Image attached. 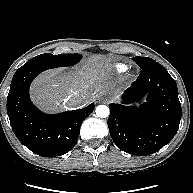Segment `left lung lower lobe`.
I'll list each match as a JSON object with an SVG mask.
<instances>
[{
  "label": "left lung lower lobe",
  "mask_w": 193,
  "mask_h": 193,
  "mask_svg": "<svg viewBox=\"0 0 193 193\" xmlns=\"http://www.w3.org/2000/svg\"><path fill=\"white\" fill-rule=\"evenodd\" d=\"M147 101L139 107L126 104ZM123 104H110L108 127L115 144L138 156L157 152L175 136L181 104L175 80L159 63L142 69L123 95ZM125 104V105H124Z\"/></svg>",
  "instance_id": "1"
}]
</instances>
